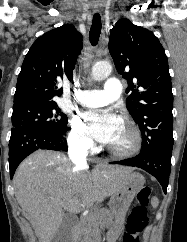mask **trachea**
<instances>
[{"instance_id": "obj_1", "label": "trachea", "mask_w": 187, "mask_h": 242, "mask_svg": "<svg viewBox=\"0 0 187 242\" xmlns=\"http://www.w3.org/2000/svg\"><path fill=\"white\" fill-rule=\"evenodd\" d=\"M101 18L99 14H94L92 25L89 32L90 42L93 46H96L101 33Z\"/></svg>"}]
</instances>
